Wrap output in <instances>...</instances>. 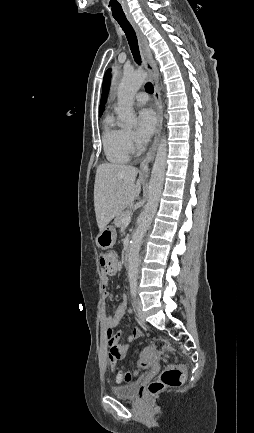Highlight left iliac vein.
Listing matches in <instances>:
<instances>
[{
	"label": "left iliac vein",
	"instance_id": "left-iliac-vein-1",
	"mask_svg": "<svg viewBox=\"0 0 254 433\" xmlns=\"http://www.w3.org/2000/svg\"><path fill=\"white\" fill-rule=\"evenodd\" d=\"M134 305L136 307V310H137V313H138L140 319L144 320L145 318H144V314H143V311H142V302H141V300H140L139 297H136L134 299Z\"/></svg>",
	"mask_w": 254,
	"mask_h": 433
}]
</instances>
